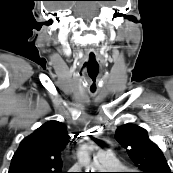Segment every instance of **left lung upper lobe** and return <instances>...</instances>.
<instances>
[{"mask_svg":"<svg viewBox=\"0 0 173 173\" xmlns=\"http://www.w3.org/2000/svg\"><path fill=\"white\" fill-rule=\"evenodd\" d=\"M115 137L140 173H172L162 151L149 139L144 128L126 124L116 130Z\"/></svg>","mask_w":173,"mask_h":173,"instance_id":"left-lung-upper-lobe-1","label":"left lung upper lobe"}]
</instances>
